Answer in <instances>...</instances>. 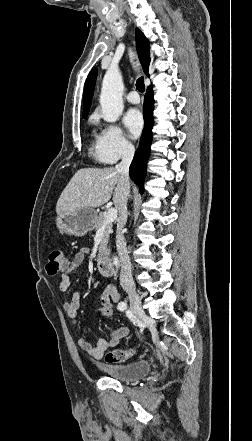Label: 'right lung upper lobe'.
<instances>
[{"label": "right lung upper lobe", "mask_w": 252, "mask_h": 441, "mask_svg": "<svg viewBox=\"0 0 252 441\" xmlns=\"http://www.w3.org/2000/svg\"><path fill=\"white\" fill-rule=\"evenodd\" d=\"M136 48H137L138 57H139V60L142 64L143 70H144L145 74L148 75V67H149V63H150L149 41L147 40V38L144 36V34L138 28H136ZM96 76H97V69L94 68L91 70V72L89 73V75L86 79V83H85V87H84V100H83V105H84L83 106V117H85V118L87 117L90 106H91Z\"/></svg>", "instance_id": "right-lung-upper-lobe-1"}]
</instances>
